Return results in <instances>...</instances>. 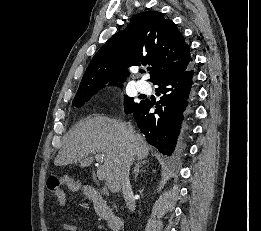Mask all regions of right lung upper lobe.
<instances>
[{"label":"right lung upper lobe","mask_w":261,"mask_h":231,"mask_svg":"<svg viewBox=\"0 0 261 231\" xmlns=\"http://www.w3.org/2000/svg\"><path fill=\"white\" fill-rule=\"evenodd\" d=\"M147 64L152 66V83L192 65L183 35L160 12L139 13L124 32L112 36L92 58L76 95L98 91L108 82H123L129 75L125 68Z\"/></svg>","instance_id":"cb5924a9"}]
</instances>
